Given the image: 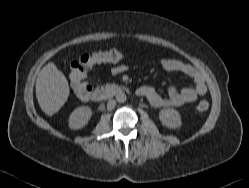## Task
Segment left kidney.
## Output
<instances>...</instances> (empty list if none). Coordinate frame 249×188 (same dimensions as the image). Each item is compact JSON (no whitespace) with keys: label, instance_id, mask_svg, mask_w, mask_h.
I'll use <instances>...</instances> for the list:
<instances>
[{"label":"left kidney","instance_id":"left-kidney-1","mask_svg":"<svg viewBox=\"0 0 249 188\" xmlns=\"http://www.w3.org/2000/svg\"><path fill=\"white\" fill-rule=\"evenodd\" d=\"M159 119L167 128L176 129L182 124L179 112L173 108L162 109L159 112Z\"/></svg>","mask_w":249,"mask_h":188}]
</instances>
